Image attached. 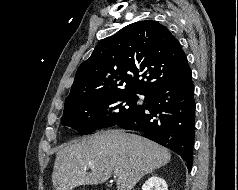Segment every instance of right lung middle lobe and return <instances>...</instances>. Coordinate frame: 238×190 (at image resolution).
Wrapping results in <instances>:
<instances>
[{
	"mask_svg": "<svg viewBox=\"0 0 238 190\" xmlns=\"http://www.w3.org/2000/svg\"><path fill=\"white\" fill-rule=\"evenodd\" d=\"M136 94L125 92L113 95L77 96L64 109L61 122L64 126L82 133L114 126L144 106L137 104L139 97ZM108 111L110 115L105 116Z\"/></svg>",
	"mask_w": 238,
	"mask_h": 190,
	"instance_id": "1",
	"label": "right lung middle lobe"
}]
</instances>
